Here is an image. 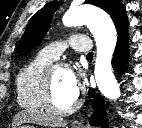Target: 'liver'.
<instances>
[{
  "label": "liver",
  "mask_w": 142,
  "mask_h": 128,
  "mask_svg": "<svg viewBox=\"0 0 142 128\" xmlns=\"http://www.w3.org/2000/svg\"><path fill=\"white\" fill-rule=\"evenodd\" d=\"M25 122L44 125L50 128L64 127L66 125V122L59 117L44 113L42 111L24 110L15 115L12 127L17 128Z\"/></svg>",
  "instance_id": "liver-1"
}]
</instances>
